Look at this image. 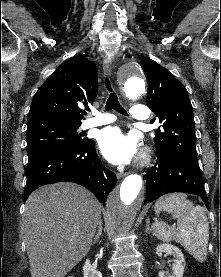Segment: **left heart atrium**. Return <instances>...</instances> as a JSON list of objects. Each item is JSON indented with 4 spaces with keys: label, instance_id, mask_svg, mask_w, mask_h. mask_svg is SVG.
Here are the masks:
<instances>
[{
    "label": "left heart atrium",
    "instance_id": "1",
    "mask_svg": "<svg viewBox=\"0 0 221 277\" xmlns=\"http://www.w3.org/2000/svg\"><path fill=\"white\" fill-rule=\"evenodd\" d=\"M98 144L104 157L114 164H126L138 155L139 144L132 134H125L119 127L100 131Z\"/></svg>",
    "mask_w": 221,
    "mask_h": 277
}]
</instances>
